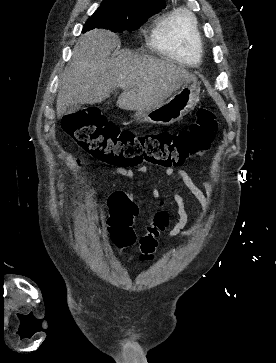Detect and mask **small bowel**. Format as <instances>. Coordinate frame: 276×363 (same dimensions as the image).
Listing matches in <instances>:
<instances>
[{"instance_id": "1", "label": "small bowel", "mask_w": 276, "mask_h": 363, "mask_svg": "<svg viewBox=\"0 0 276 363\" xmlns=\"http://www.w3.org/2000/svg\"><path fill=\"white\" fill-rule=\"evenodd\" d=\"M80 167H81V161L80 159H76L74 161V169L78 170L80 169ZM138 170L142 173H146L148 171V167L145 165H140L138 166ZM109 172L123 176L125 178H132L134 176V172L131 169H127L124 167L112 168L109 170ZM174 172H176L179 175L185 187L199 202L201 206V215L196 224L187 228L186 225L188 222V216L185 210L184 201L179 194L174 193L173 200L177 205L178 220L174 224V226L167 229V224H168L167 213L165 212L157 213L154 217L153 223L150 226H148L146 232V234L148 233L155 234L156 239L160 236L162 232H165L168 238H176V237L189 236L194 234L202 226L208 214L209 208L214 202V190L211 184L207 180H203L202 182L204 187L203 191L193 182L192 178L183 169L174 170L173 168H167L165 171L167 176L173 175ZM70 191H71V199L69 201V205L72 206L74 205L75 198L73 190L71 189ZM108 206L110 209L116 208L126 213L129 216L131 225L133 223V220L139 216L140 210L138 205L133 201L131 193L125 190H119L113 192L109 197ZM84 210L92 214H97L98 212L96 206L92 204L86 205L84 207ZM157 221H160L162 223V226H158L156 224ZM76 224L80 226H87L89 228H94L89 222L76 221Z\"/></svg>"}]
</instances>
